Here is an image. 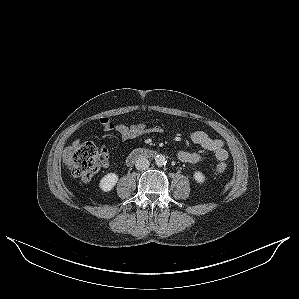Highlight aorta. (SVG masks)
I'll list each match as a JSON object with an SVG mask.
<instances>
[{
    "label": "aorta",
    "instance_id": "762f6f07",
    "mask_svg": "<svg viewBox=\"0 0 299 299\" xmlns=\"http://www.w3.org/2000/svg\"><path fill=\"white\" fill-rule=\"evenodd\" d=\"M166 158L164 155H157L155 158V163L157 166L161 167L166 164Z\"/></svg>",
    "mask_w": 299,
    "mask_h": 299
}]
</instances>
